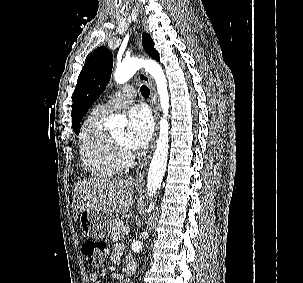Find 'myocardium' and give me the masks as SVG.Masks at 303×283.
I'll list each match as a JSON object with an SVG mask.
<instances>
[{
    "instance_id": "1",
    "label": "myocardium",
    "mask_w": 303,
    "mask_h": 283,
    "mask_svg": "<svg viewBox=\"0 0 303 283\" xmlns=\"http://www.w3.org/2000/svg\"><path fill=\"white\" fill-rule=\"evenodd\" d=\"M115 158L120 167H129L133 164L132 154L125 148L123 144L118 142L113 136H110Z\"/></svg>"
}]
</instances>
